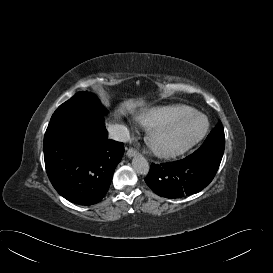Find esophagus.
Segmentation results:
<instances>
[{"mask_svg": "<svg viewBox=\"0 0 273 273\" xmlns=\"http://www.w3.org/2000/svg\"><path fill=\"white\" fill-rule=\"evenodd\" d=\"M139 154V152L134 149V148H130L127 152H126V155L127 157L131 158V157H134V156H137Z\"/></svg>", "mask_w": 273, "mask_h": 273, "instance_id": "1", "label": "esophagus"}]
</instances>
